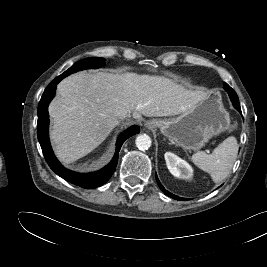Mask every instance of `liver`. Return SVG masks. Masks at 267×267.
<instances>
[{"mask_svg":"<svg viewBox=\"0 0 267 267\" xmlns=\"http://www.w3.org/2000/svg\"><path fill=\"white\" fill-rule=\"evenodd\" d=\"M205 92L188 90L163 76L80 72L63 79L49 105L50 137L57 157L74 162L98 147L119 124L134 119L178 115L195 108Z\"/></svg>","mask_w":267,"mask_h":267,"instance_id":"obj_1","label":"liver"}]
</instances>
